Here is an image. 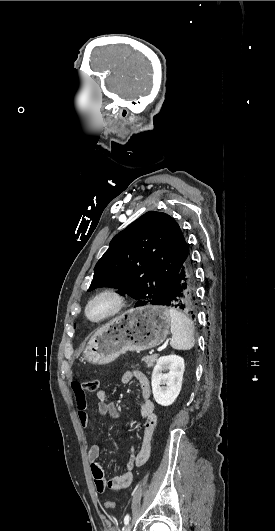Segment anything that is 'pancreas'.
<instances>
[{
  "label": "pancreas",
  "instance_id": "1",
  "mask_svg": "<svg viewBox=\"0 0 275 531\" xmlns=\"http://www.w3.org/2000/svg\"><path fill=\"white\" fill-rule=\"evenodd\" d=\"M158 355H151V357H142L141 361L147 365V367H154V363L157 361Z\"/></svg>",
  "mask_w": 275,
  "mask_h": 531
}]
</instances>
